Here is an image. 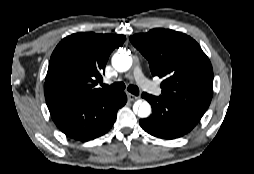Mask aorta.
I'll return each instance as SVG.
<instances>
[{"label": "aorta", "mask_w": 254, "mask_h": 174, "mask_svg": "<svg viewBox=\"0 0 254 174\" xmlns=\"http://www.w3.org/2000/svg\"><path fill=\"white\" fill-rule=\"evenodd\" d=\"M112 65L119 72L129 70L132 65V58L125 52H118L112 57ZM151 113V106L148 102L144 101L139 105L137 115L140 118H147Z\"/></svg>", "instance_id": "aorta-1"}]
</instances>
